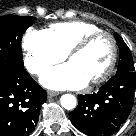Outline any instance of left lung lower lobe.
I'll return each mask as SVG.
<instances>
[{"instance_id":"obj_1","label":"left lung lower lobe","mask_w":136,"mask_h":136,"mask_svg":"<svg viewBox=\"0 0 136 136\" xmlns=\"http://www.w3.org/2000/svg\"><path fill=\"white\" fill-rule=\"evenodd\" d=\"M136 72L116 74L97 93L80 95L69 113L74 126L90 136L114 134L128 117L133 103Z\"/></svg>"}]
</instances>
